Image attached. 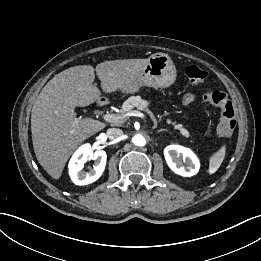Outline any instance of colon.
<instances>
[{
  "mask_svg": "<svg viewBox=\"0 0 261 261\" xmlns=\"http://www.w3.org/2000/svg\"><path fill=\"white\" fill-rule=\"evenodd\" d=\"M189 82L195 86L203 85L207 73L195 65H190L185 69ZM205 101L217 106L220 110V121L217 127V133L220 137L228 139L233 134L236 119L235 110L227 94L218 89H206L203 93Z\"/></svg>",
  "mask_w": 261,
  "mask_h": 261,
  "instance_id": "1",
  "label": "colon"
}]
</instances>
